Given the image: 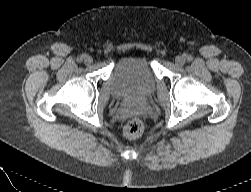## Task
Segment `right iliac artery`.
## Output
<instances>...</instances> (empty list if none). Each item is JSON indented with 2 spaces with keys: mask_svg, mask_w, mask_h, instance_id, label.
Returning <instances> with one entry per match:
<instances>
[{
  "mask_svg": "<svg viewBox=\"0 0 251 192\" xmlns=\"http://www.w3.org/2000/svg\"><path fill=\"white\" fill-rule=\"evenodd\" d=\"M85 57H86V55H85V54H82V55L78 58V61L81 62Z\"/></svg>",
  "mask_w": 251,
  "mask_h": 192,
  "instance_id": "obj_1",
  "label": "right iliac artery"
}]
</instances>
